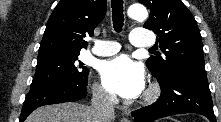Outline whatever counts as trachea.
<instances>
[{"mask_svg": "<svg viewBox=\"0 0 221 122\" xmlns=\"http://www.w3.org/2000/svg\"><path fill=\"white\" fill-rule=\"evenodd\" d=\"M111 7L114 30L120 32L124 24L123 0H111Z\"/></svg>", "mask_w": 221, "mask_h": 122, "instance_id": "1", "label": "trachea"}]
</instances>
